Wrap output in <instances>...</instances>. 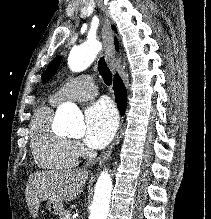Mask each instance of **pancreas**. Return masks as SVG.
<instances>
[{"mask_svg":"<svg viewBox=\"0 0 211 219\" xmlns=\"http://www.w3.org/2000/svg\"><path fill=\"white\" fill-rule=\"evenodd\" d=\"M59 219H71V214L69 210L63 211V213L60 215Z\"/></svg>","mask_w":211,"mask_h":219,"instance_id":"obj_1","label":"pancreas"}]
</instances>
